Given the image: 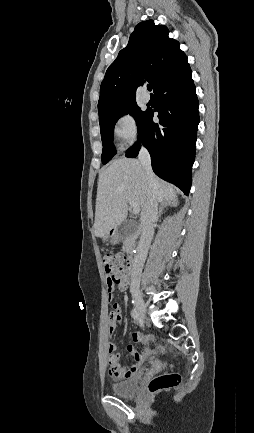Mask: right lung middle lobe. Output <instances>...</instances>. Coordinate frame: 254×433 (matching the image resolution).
I'll return each mask as SVG.
<instances>
[{
	"mask_svg": "<svg viewBox=\"0 0 254 433\" xmlns=\"http://www.w3.org/2000/svg\"><path fill=\"white\" fill-rule=\"evenodd\" d=\"M145 113L146 111H142L136 102H131L99 114L101 139L103 143V164L109 162L116 154V150L113 145V130L117 120L125 114H130L134 117L136 123L138 124Z\"/></svg>",
	"mask_w": 254,
	"mask_h": 433,
	"instance_id": "right-lung-middle-lobe-1",
	"label": "right lung middle lobe"
}]
</instances>
